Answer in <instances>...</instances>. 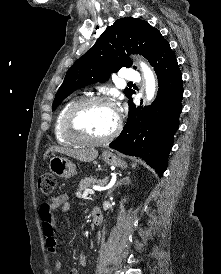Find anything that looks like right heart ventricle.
Wrapping results in <instances>:
<instances>
[{
    "label": "right heart ventricle",
    "mask_w": 221,
    "mask_h": 274,
    "mask_svg": "<svg viewBox=\"0 0 221 274\" xmlns=\"http://www.w3.org/2000/svg\"><path fill=\"white\" fill-rule=\"evenodd\" d=\"M77 100H78L77 98L68 100L66 103H64L62 105V107L59 109V111L56 115L53 131H54V136H55L56 141L62 145L76 144L75 141L71 140L70 138H68L65 135V133L63 131V118H64V115H65L66 111L68 110V108Z\"/></svg>",
    "instance_id": "e07e8e85"
}]
</instances>
